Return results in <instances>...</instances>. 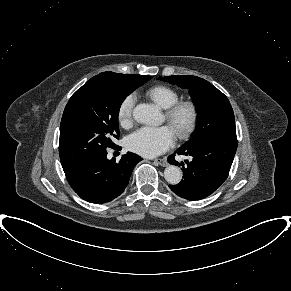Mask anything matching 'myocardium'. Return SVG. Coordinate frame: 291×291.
I'll return each instance as SVG.
<instances>
[{"mask_svg": "<svg viewBox=\"0 0 291 291\" xmlns=\"http://www.w3.org/2000/svg\"><path fill=\"white\" fill-rule=\"evenodd\" d=\"M185 115L184 124L179 125L181 117ZM167 123L174 127L175 134L180 140H185L195 131L199 120L198 105L192 100L178 101L165 111Z\"/></svg>", "mask_w": 291, "mask_h": 291, "instance_id": "myocardium-1", "label": "myocardium"}]
</instances>
